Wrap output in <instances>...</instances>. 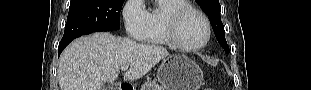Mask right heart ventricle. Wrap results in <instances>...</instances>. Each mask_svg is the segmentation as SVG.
<instances>
[{
	"mask_svg": "<svg viewBox=\"0 0 311 90\" xmlns=\"http://www.w3.org/2000/svg\"><path fill=\"white\" fill-rule=\"evenodd\" d=\"M190 6L185 0H157L155 6L147 11V25L143 42L154 45L171 46L165 29V19L174 10Z\"/></svg>",
	"mask_w": 311,
	"mask_h": 90,
	"instance_id": "obj_1",
	"label": "right heart ventricle"
}]
</instances>
